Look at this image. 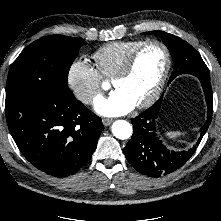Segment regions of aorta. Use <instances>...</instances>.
<instances>
[{"label": "aorta", "mask_w": 221, "mask_h": 221, "mask_svg": "<svg viewBox=\"0 0 221 221\" xmlns=\"http://www.w3.org/2000/svg\"><path fill=\"white\" fill-rule=\"evenodd\" d=\"M113 135L121 140H125L131 137L133 128L132 125L126 120H117L112 124Z\"/></svg>", "instance_id": "762f6f07"}]
</instances>
